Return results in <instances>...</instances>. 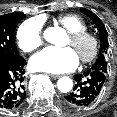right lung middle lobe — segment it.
I'll return each mask as SVG.
<instances>
[{
  "mask_svg": "<svg viewBox=\"0 0 117 117\" xmlns=\"http://www.w3.org/2000/svg\"><path fill=\"white\" fill-rule=\"evenodd\" d=\"M24 18L21 12L0 16V58L20 57L14 41V30L16 24Z\"/></svg>",
  "mask_w": 117,
  "mask_h": 117,
  "instance_id": "dd1d6c3e",
  "label": "right lung middle lobe"
}]
</instances>
